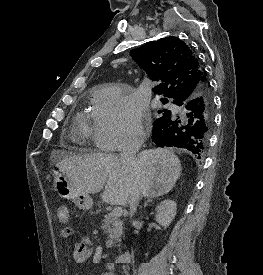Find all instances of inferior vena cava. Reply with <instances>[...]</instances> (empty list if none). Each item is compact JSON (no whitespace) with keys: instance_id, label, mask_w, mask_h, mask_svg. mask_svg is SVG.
<instances>
[{"instance_id":"602c4592","label":"inferior vena cava","mask_w":263,"mask_h":275,"mask_svg":"<svg viewBox=\"0 0 263 275\" xmlns=\"http://www.w3.org/2000/svg\"><path fill=\"white\" fill-rule=\"evenodd\" d=\"M139 145H127L125 146L120 154V159L126 168H130L133 171H136V154L139 150ZM140 198V191L137 186L133 187L130 197H129V206H130V216L132 217L137 210L138 202Z\"/></svg>"}]
</instances>
